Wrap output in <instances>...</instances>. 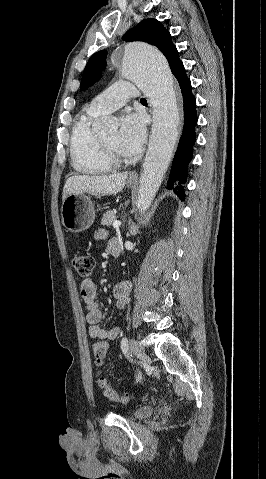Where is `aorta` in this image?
<instances>
[{
	"instance_id": "obj_1",
	"label": "aorta",
	"mask_w": 266,
	"mask_h": 479,
	"mask_svg": "<svg viewBox=\"0 0 266 479\" xmlns=\"http://www.w3.org/2000/svg\"><path fill=\"white\" fill-rule=\"evenodd\" d=\"M114 61L120 62L122 75L133 81L153 108V124L143 163L135 207L144 215L150 207L171 162L178 135L179 110L174 78L165 57L154 47L133 42L118 49ZM99 130L117 127L111 117L95 121Z\"/></svg>"
}]
</instances>
